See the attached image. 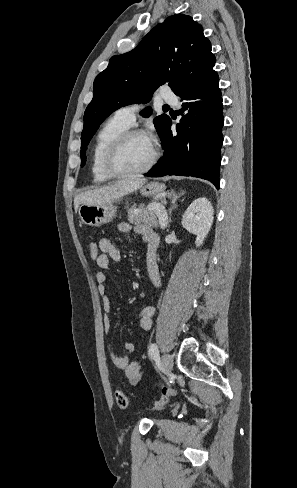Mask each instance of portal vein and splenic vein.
<instances>
[{
    "instance_id": "1",
    "label": "portal vein and splenic vein",
    "mask_w": 297,
    "mask_h": 488,
    "mask_svg": "<svg viewBox=\"0 0 297 488\" xmlns=\"http://www.w3.org/2000/svg\"><path fill=\"white\" fill-rule=\"evenodd\" d=\"M154 209L156 210L157 214L159 215V223L161 226L165 225V216H164V206L163 204H156L154 206Z\"/></svg>"
}]
</instances>
